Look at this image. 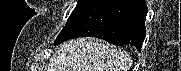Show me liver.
I'll return each instance as SVG.
<instances>
[{
  "label": "liver",
  "instance_id": "liver-1",
  "mask_svg": "<svg viewBox=\"0 0 181 71\" xmlns=\"http://www.w3.org/2000/svg\"><path fill=\"white\" fill-rule=\"evenodd\" d=\"M131 63V57L114 46L94 38H78L60 46L48 71H129Z\"/></svg>",
  "mask_w": 181,
  "mask_h": 71
}]
</instances>
